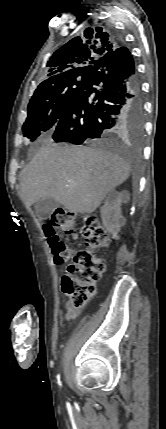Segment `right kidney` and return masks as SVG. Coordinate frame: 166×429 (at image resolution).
Returning <instances> with one entry per match:
<instances>
[{
    "instance_id": "right-kidney-1",
    "label": "right kidney",
    "mask_w": 166,
    "mask_h": 429,
    "mask_svg": "<svg viewBox=\"0 0 166 429\" xmlns=\"http://www.w3.org/2000/svg\"><path fill=\"white\" fill-rule=\"evenodd\" d=\"M130 199L128 191L118 192L111 190L106 197L101 208V218L104 227L114 239L118 238V233L126 223V219L121 214L122 203H127Z\"/></svg>"
}]
</instances>
